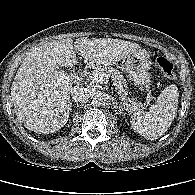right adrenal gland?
<instances>
[{"label":"right adrenal gland","mask_w":195,"mask_h":195,"mask_svg":"<svg viewBox=\"0 0 195 195\" xmlns=\"http://www.w3.org/2000/svg\"><path fill=\"white\" fill-rule=\"evenodd\" d=\"M70 107H72V103H70ZM70 110H72V108H70Z\"/></svg>","instance_id":"obj_1"}]
</instances>
